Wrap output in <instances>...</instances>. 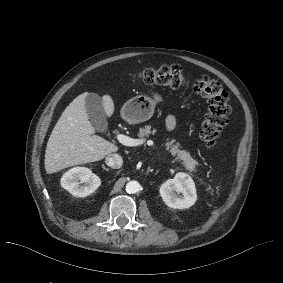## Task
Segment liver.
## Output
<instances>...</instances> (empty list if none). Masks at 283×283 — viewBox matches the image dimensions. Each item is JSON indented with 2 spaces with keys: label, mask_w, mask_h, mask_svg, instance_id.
Here are the masks:
<instances>
[{
  "label": "liver",
  "mask_w": 283,
  "mask_h": 283,
  "mask_svg": "<svg viewBox=\"0 0 283 283\" xmlns=\"http://www.w3.org/2000/svg\"><path fill=\"white\" fill-rule=\"evenodd\" d=\"M82 93L73 99L54 126L45 151V170L56 172L71 165L98 161L117 150V147L95 135L85 109ZM108 115L113 111L109 97H104Z\"/></svg>",
  "instance_id": "liver-1"
}]
</instances>
